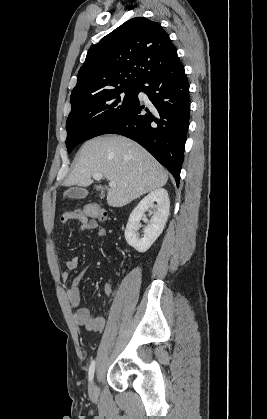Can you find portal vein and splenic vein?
<instances>
[{"label":"portal vein and splenic vein","mask_w":267,"mask_h":419,"mask_svg":"<svg viewBox=\"0 0 267 419\" xmlns=\"http://www.w3.org/2000/svg\"><path fill=\"white\" fill-rule=\"evenodd\" d=\"M102 177H103V175H102L101 173H96V174H94V175H93V178H94L95 180H100V179H102ZM109 186H110V187H115V186H116V183H115V182H113V181H111V182L109 183Z\"/></svg>","instance_id":"portal-vein-and-splenic-vein-1"}]
</instances>
